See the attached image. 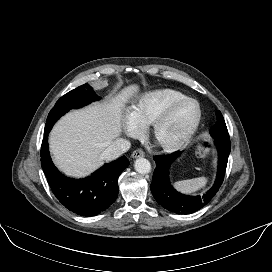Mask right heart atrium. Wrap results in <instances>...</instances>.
<instances>
[{"instance_id": "1", "label": "right heart atrium", "mask_w": 272, "mask_h": 272, "mask_svg": "<svg viewBox=\"0 0 272 272\" xmlns=\"http://www.w3.org/2000/svg\"><path fill=\"white\" fill-rule=\"evenodd\" d=\"M125 131L131 137H136L141 130L131 121L129 115L125 119Z\"/></svg>"}]
</instances>
